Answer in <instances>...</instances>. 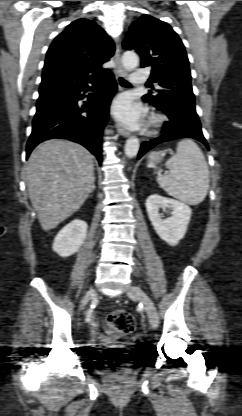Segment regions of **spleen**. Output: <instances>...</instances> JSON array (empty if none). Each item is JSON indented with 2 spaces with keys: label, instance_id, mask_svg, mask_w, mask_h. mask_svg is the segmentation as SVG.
Wrapping results in <instances>:
<instances>
[{
  "label": "spleen",
  "instance_id": "1",
  "mask_svg": "<svg viewBox=\"0 0 242 416\" xmlns=\"http://www.w3.org/2000/svg\"><path fill=\"white\" fill-rule=\"evenodd\" d=\"M169 173L158 174L159 186L172 197L190 205L201 203L209 189V170L198 145L184 139L178 142L176 154L166 162ZM152 167V165H149Z\"/></svg>",
  "mask_w": 242,
  "mask_h": 416
}]
</instances>
